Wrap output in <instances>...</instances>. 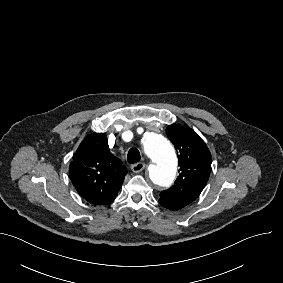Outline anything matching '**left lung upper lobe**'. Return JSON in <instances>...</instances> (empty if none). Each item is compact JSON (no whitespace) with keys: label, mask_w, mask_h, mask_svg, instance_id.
<instances>
[{"label":"left lung upper lobe","mask_w":283,"mask_h":283,"mask_svg":"<svg viewBox=\"0 0 283 283\" xmlns=\"http://www.w3.org/2000/svg\"><path fill=\"white\" fill-rule=\"evenodd\" d=\"M166 133L178 150L180 175L173 187L161 192L159 203L178 210L193 202L204 189L211 172V154L204 141L188 126L172 124Z\"/></svg>","instance_id":"5c2ea615"}]
</instances>
